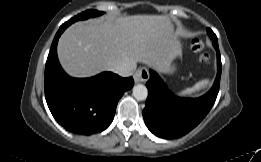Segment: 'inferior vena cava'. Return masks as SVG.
Segmentation results:
<instances>
[{
	"instance_id": "obj_1",
	"label": "inferior vena cava",
	"mask_w": 261,
	"mask_h": 162,
	"mask_svg": "<svg viewBox=\"0 0 261 162\" xmlns=\"http://www.w3.org/2000/svg\"><path fill=\"white\" fill-rule=\"evenodd\" d=\"M136 67H137L136 63L133 62L131 64L117 65L114 68H112L111 71H113L114 73H116V74H118L122 77H128V76H131L133 74Z\"/></svg>"
}]
</instances>
